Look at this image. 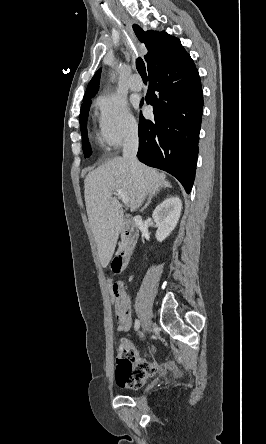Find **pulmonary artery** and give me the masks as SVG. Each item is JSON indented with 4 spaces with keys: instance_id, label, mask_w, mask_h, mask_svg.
<instances>
[{
    "instance_id": "1",
    "label": "pulmonary artery",
    "mask_w": 266,
    "mask_h": 444,
    "mask_svg": "<svg viewBox=\"0 0 266 444\" xmlns=\"http://www.w3.org/2000/svg\"><path fill=\"white\" fill-rule=\"evenodd\" d=\"M129 88L133 91H141L143 89V83L139 80L138 74H133L129 82Z\"/></svg>"
}]
</instances>
